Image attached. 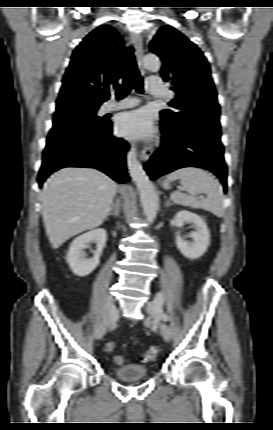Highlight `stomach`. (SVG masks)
<instances>
[{"mask_svg":"<svg viewBox=\"0 0 273 430\" xmlns=\"http://www.w3.org/2000/svg\"><path fill=\"white\" fill-rule=\"evenodd\" d=\"M162 185L164 188H167L169 187V182L165 180Z\"/></svg>","mask_w":273,"mask_h":430,"instance_id":"obj_1","label":"stomach"}]
</instances>
